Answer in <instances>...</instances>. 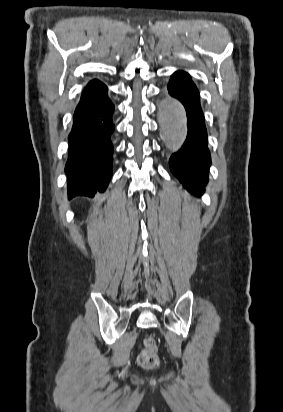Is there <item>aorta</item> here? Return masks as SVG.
<instances>
[{
  "label": "aorta",
  "mask_w": 283,
  "mask_h": 412,
  "mask_svg": "<svg viewBox=\"0 0 283 412\" xmlns=\"http://www.w3.org/2000/svg\"><path fill=\"white\" fill-rule=\"evenodd\" d=\"M169 111L172 114V124L168 129V133L179 140L185 132V110L179 102H173L169 106Z\"/></svg>",
  "instance_id": "obj_1"
}]
</instances>
